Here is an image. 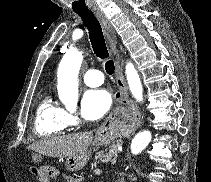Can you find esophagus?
<instances>
[{
    "instance_id": "34e87169",
    "label": "esophagus",
    "mask_w": 211,
    "mask_h": 182,
    "mask_svg": "<svg viewBox=\"0 0 211 182\" xmlns=\"http://www.w3.org/2000/svg\"><path fill=\"white\" fill-rule=\"evenodd\" d=\"M93 12L102 25V28L109 42L112 53L116 55L117 54V49H116L117 38H116V33L113 26L111 25L110 21L107 19L105 14L100 9L98 8L93 9ZM115 67H116L115 76H116L118 90L114 95V100L117 104H121L126 107L132 106L137 112V115H138L137 125H139L140 113L138 111V107L134 105L132 101L129 99L128 87L126 85V82H125V79H124V76L119 64V60L117 58L115 60ZM114 116L115 114L113 112L108 116V118L106 119V121L104 122V124L102 125L100 129L101 132L104 130H107L108 127L111 126L114 120Z\"/></svg>"
}]
</instances>
